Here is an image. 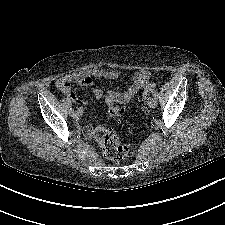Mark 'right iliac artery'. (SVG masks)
<instances>
[{
    "label": "right iliac artery",
    "instance_id": "1",
    "mask_svg": "<svg viewBox=\"0 0 225 225\" xmlns=\"http://www.w3.org/2000/svg\"><path fill=\"white\" fill-rule=\"evenodd\" d=\"M73 113V110H72V108H71V114Z\"/></svg>",
    "mask_w": 225,
    "mask_h": 225
}]
</instances>
